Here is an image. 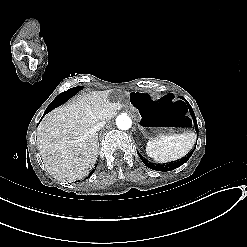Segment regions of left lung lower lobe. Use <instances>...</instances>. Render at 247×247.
Masks as SVG:
<instances>
[{
	"instance_id": "obj_1",
	"label": "left lung lower lobe",
	"mask_w": 247,
	"mask_h": 247,
	"mask_svg": "<svg viewBox=\"0 0 247 247\" xmlns=\"http://www.w3.org/2000/svg\"><path fill=\"white\" fill-rule=\"evenodd\" d=\"M189 108H190V111H191V114H192V117L194 119V123H195V126H196V132L198 133V125H197V122H196V118H195V115H194V112L192 110V108L190 107L189 105ZM195 148L193 149V151L187 156L185 157L184 159L178 161V162H175V163H170V164H165V165H154L150 162H148L147 160L143 159V157L141 155H139L140 159L143 161V163L150 169H153V170H156V171H171L173 169H176L178 167H180L181 165H183L185 162L188 161V159L190 158V156L192 155V153L194 152Z\"/></svg>"
}]
</instances>
